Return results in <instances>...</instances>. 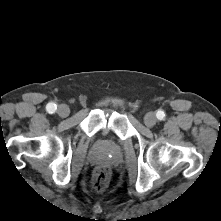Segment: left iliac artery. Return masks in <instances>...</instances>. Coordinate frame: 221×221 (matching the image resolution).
<instances>
[{
	"label": "left iliac artery",
	"mask_w": 221,
	"mask_h": 221,
	"mask_svg": "<svg viewBox=\"0 0 221 221\" xmlns=\"http://www.w3.org/2000/svg\"><path fill=\"white\" fill-rule=\"evenodd\" d=\"M156 116H157V118H158L159 120H163L164 117H165V113H164V111H162V110H158L157 113H156Z\"/></svg>",
	"instance_id": "left-iliac-artery-1"
}]
</instances>
